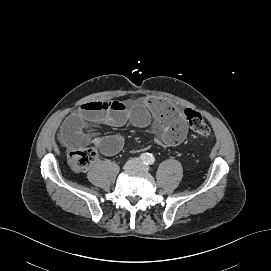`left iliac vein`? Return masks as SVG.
Returning a JSON list of instances; mask_svg holds the SVG:
<instances>
[{"label":"left iliac vein","mask_w":271,"mask_h":271,"mask_svg":"<svg viewBox=\"0 0 271 271\" xmlns=\"http://www.w3.org/2000/svg\"><path fill=\"white\" fill-rule=\"evenodd\" d=\"M138 169H140V170H142V171H144V172H147V171H148V168H147L146 166L142 165V164H140V165L138 166Z\"/></svg>","instance_id":"4c4485c4"}]
</instances>
